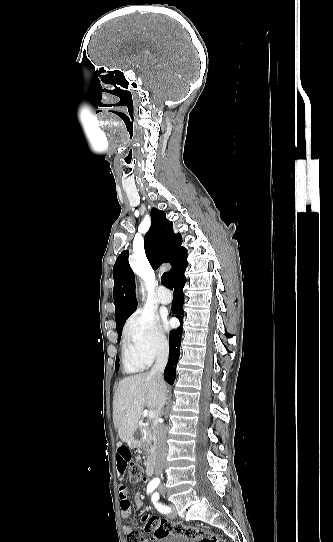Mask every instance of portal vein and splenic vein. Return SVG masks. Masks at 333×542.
<instances>
[{
	"label": "portal vein and splenic vein",
	"mask_w": 333,
	"mask_h": 542,
	"mask_svg": "<svg viewBox=\"0 0 333 542\" xmlns=\"http://www.w3.org/2000/svg\"><path fill=\"white\" fill-rule=\"evenodd\" d=\"M148 418H156L155 410H150V412H148Z\"/></svg>",
	"instance_id": "portal-vein-and-splenic-vein-1"
}]
</instances>
